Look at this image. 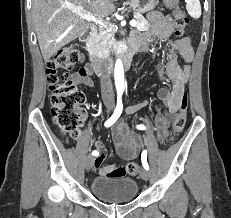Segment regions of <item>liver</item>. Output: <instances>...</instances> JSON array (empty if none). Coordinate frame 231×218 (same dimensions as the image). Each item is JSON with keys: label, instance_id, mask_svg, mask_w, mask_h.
<instances>
[{"label": "liver", "instance_id": "liver-1", "mask_svg": "<svg viewBox=\"0 0 231 218\" xmlns=\"http://www.w3.org/2000/svg\"><path fill=\"white\" fill-rule=\"evenodd\" d=\"M116 0H32V18L45 62L62 47L85 33L87 24L70 6H85L101 17L115 11Z\"/></svg>", "mask_w": 231, "mask_h": 218}]
</instances>
